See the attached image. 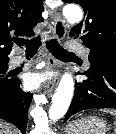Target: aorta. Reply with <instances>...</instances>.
Wrapping results in <instances>:
<instances>
[{
    "label": "aorta",
    "instance_id": "obj_1",
    "mask_svg": "<svg viewBox=\"0 0 116 134\" xmlns=\"http://www.w3.org/2000/svg\"><path fill=\"white\" fill-rule=\"evenodd\" d=\"M63 15L66 20L71 23H79L83 18L82 10L79 6L69 4L64 7ZM74 92V80L71 74L65 73L56 89L52 98V104L49 109V118L57 121L62 118L67 112L71 103Z\"/></svg>",
    "mask_w": 116,
    "mask_h": 134
}]
</instances>
